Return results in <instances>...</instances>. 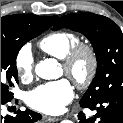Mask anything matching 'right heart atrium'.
<instances>
[{"instance_id":"right-heart-atrium-1","label":"right heart atrium","mask_w":123,"mask_h":123,"mask_svg":"<svg viewBox=\"0 0 123 123\" xmlns=\"http://www.w3.org/2000/svg\"><path fill=\"white\" fill-rule=\"evenodd\" d=\"M15 70L22 81L32 79L34 72V57L28 47L18 50L14 60Z\"/></svg>"}]
</instances>
